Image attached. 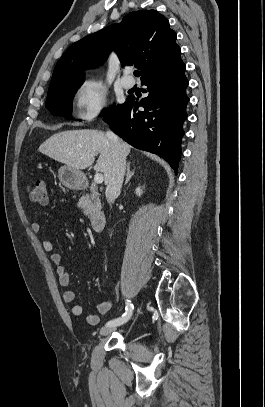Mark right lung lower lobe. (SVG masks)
I'll list each match as a JSON object with an SVG mask.
<instances>
[{"mask_svg": "<svg viewBox=\"0 0 265 407\" xmlns=\"http://www.w3.org/2000/svg\"><path fill=\"white\" fill-rule=\"evenodd\" d=\"M176 56L162 63L141 79L149 95L140 102L128 97L105 121L111 129L132 146L164 158L175 173L181 156L183 122L187 118L188 80L185 64ZM144 111H139L138 107Z\"/></svg>", "mask_w": 265, "mask_h": 407, "instance_id": "98d812e1", "label": "right lung lower lobe"}]
</instances>
